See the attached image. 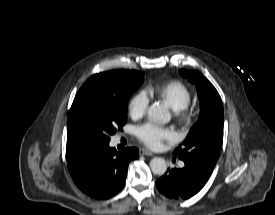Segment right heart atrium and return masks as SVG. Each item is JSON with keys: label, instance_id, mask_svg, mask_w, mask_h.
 <instances>
[{"label": "right heart atrium", "instance_id": "obj_1", "mask_svg": "<svg viewBox=\"0 0 275 215\" xmlns=\"http://www.w3.org/2000/svg\"><path fill=\"white\" fill-rule=\"evenodd\" d=\"M148 105L149 97L145 91H139L135 93L128 103L130 116L132 118L142 117L146 113Z\"/></svg>", "mask_w": 275, "mask_h": 215}]
</instances>
